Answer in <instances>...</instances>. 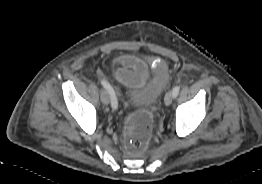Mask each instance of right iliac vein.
I'll return each mask as SVG.
<instances>
[{
	"label": "right iliac vein",
	"instance_id": "63e3f726",
	"mask_svg": "<svg viewBox=\"0 0 262 184\" xmlns=\"http://www.w3.org/2000/svg\"><path fill=\"white\" fill-rule=\"evenodd\" d=\"M101 101L103 104H109L110 102V96L109 93L106 90H103L100 95Z\"/></svg>",
	"mask_w": 262,
	"mask_h": 184
}]
</instances>
